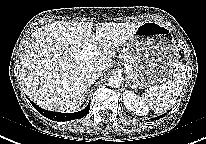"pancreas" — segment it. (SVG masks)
<instances>
[{"instance_id": "obj_1", "label": "pancreas", "mask_w": 206, "mask_h": 144, "mask_svg": "<svg viewBox=\"0 0 206 144\" xmlns=\"http://www.w3.org/2000/svg\"><path fill=\"white\" fill-rule=\"evenodd\" d=\"M125 55H126V63H127V65H129V74L132 77V76H134V71L132 68V61H131V58L127 54H125Z\"/></svg>"}]
</instances>
